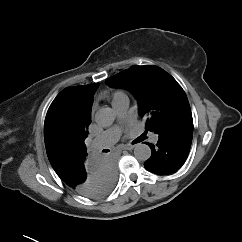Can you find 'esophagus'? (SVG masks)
Here are the masks:
<instances>
[{"instance_id": "34e87169", "label": "esophagus", "mask_w": 242, "mask_h": 242, "mask_svg": "<svg viewBox=\"0 0 242 242\" xmlns=\"http://www.w3.org/2000/svg\"><path fill=\"white\" fill-rule=\"evenodd\" d=\"M134 148L133 144H125L122 149L124 150H132Z\"/></svg>"}]
</instances>
